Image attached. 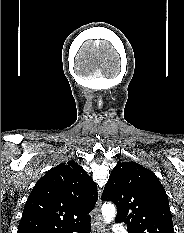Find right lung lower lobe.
I'll return each instance as SVG.
<instances>
[{
	"mask_svg": "<svg viewBox=\"0 0 184 233\" xmlns=\"http://www.w3.org/2000/svg\"><path fill=\"white\" fill-rule=\"evenodd\" d=\"M90 220L91 219L87 220L84 223L76 225V226L64 231L63 233H90V229H91Z\"/></svg>",
	"mask_w": 184,
	"mask_h": 233,
	"instance_id": "obj_1",
	"label": "right lung lower lobe"
}]
</instances>
